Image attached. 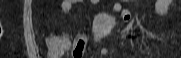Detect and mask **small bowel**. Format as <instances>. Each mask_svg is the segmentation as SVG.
Instances as JSON below:
<instances>
[{"mask_svg": "<svg viewBox=\"0 0 181 58\" xmlns=\"http://www.w3.org/2000/svg\"><path fill=\"white\" fill-rule=\"evenodd\" d=\"M93 3H96L97 0H91ZM79 3V0H64L62 2L61 8L64 12L72 11ZM171 3V0H157L156 1V12L160 16H168L169 15V5ZM112 10L115 13H120L124 20H129L130 15L127 10L123 9L122 6L119 3H114L112 5ZM52 38L55 40V46L54 49L57 52H63L67 50L70 46V42L66 37H55L52 36ZM78 38H83V36H78ZM84 39V38H83ZM108 50L106 48H101L100 53L102 55L107 54Z\"/></svg>", "mask_w": 181, "mask_h": 58, "instance_id": "c3829d8e", "label": "small bowel"}]
</instances>
